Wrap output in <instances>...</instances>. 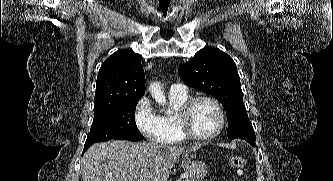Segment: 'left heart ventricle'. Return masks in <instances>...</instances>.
Returning <instances> with one entry per match:
<instances>
[{
    "label": "left heart ventricle",
    "mask_w": 333,
    "mask_h": 181,
    "mask_svg": "<svg viewBox=\"0 0 333 181\" xmlns=\"http://www.w3.org/2000/svg\"><path fill=\"white\" fill-rule=\"evenodd\" d=\"M190 125L194 133L208 136L219 126V117L215 107L207 101H199L193 107L190 115Z\"/></svg>",
    "instance_id": "1"
}]
</instances>
